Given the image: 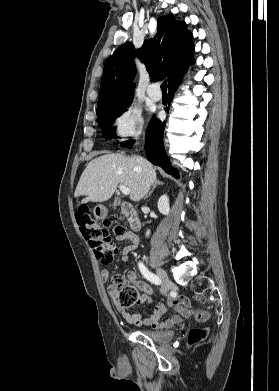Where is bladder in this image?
Masks as SVG:
<instances>
[{
    "label": "bladder",
    "instance_id": "obj_1",
    "mask_svg": "<svg viewBox=\"0 0 279 391\" xmlns=\"http://www.w3.org/2000/svg\"><path fill=\"white\" fill-rule=\"evenodd\" d=\"M143 334L151 339L152 341L159 342V343H166L169 342L173 336V331H162V330H145L143 331Z\"/></svg>",
    "mask_w": 279,
    "mask_h": 391
}]
</instances>
